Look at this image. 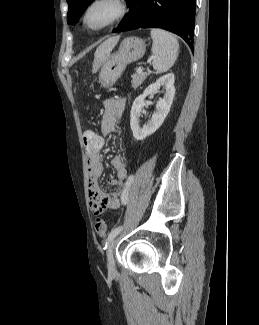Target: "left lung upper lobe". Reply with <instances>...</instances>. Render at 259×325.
I'll use <instances>...</instances> for the list:
<instances>
[{
	"instance_id": "1",
	"label": "left lung upper lobe",
	"mask_w": 259,
	"mask_h": 325,
	"mask_svg": "<svg viewBox=\"0 0 259 325\" xmlns=\"http://www.w3.org/2000/svg\"><path fill=\"white\" fill-rule=\"evenodd\" d=\"M93 0H67L68 2V24L75 25L78 19L81 17L83 12L86 10L87 6ZM128 3L129 0H126Z\"/></svg>"
}]
</instances>
